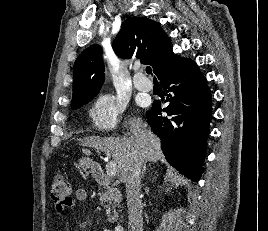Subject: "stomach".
<instances>
[{"instance_id": "obj_1", "label": "stomach", "mask_w": 268, "mask_h": 231, "mask_svg": "<svg viewBox=\"0 0 268 231\" xmlns=\"http://www.w3.org/2000/svg\"><path fill=\"white\" fill-rule=\"evenodd\" d=\"M79 167L83 170L93 169L95 167V163L88 157H84L79 160Z\"/></svg>"}]
</instances>
